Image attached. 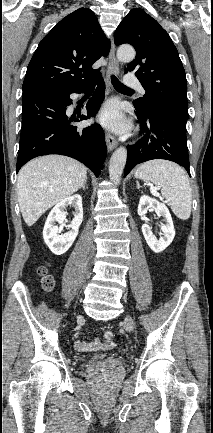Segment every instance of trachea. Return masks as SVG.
<instances>
[{
    "instance_id": "1",
    "label": "trachea",
    "mask_w": 213,
    "mask_h": 433,
    "mask_svg": "<svg viewBox=\"0 0 213 433\" xmlns=\"http://www.w3.org/2000/svg\"><path fill=\"white\" fill-rule=\"evenodd\" d=\"M111 81H112V84H113L114 88H116V89H127V90H130V88H128V87H126L124 84H122V83L117 79V77L114 76V75L111 76Z\"/></svg>"
}]
</instances>
